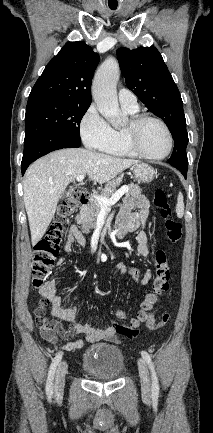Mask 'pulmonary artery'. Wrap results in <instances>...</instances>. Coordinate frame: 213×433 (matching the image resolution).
<instances>
[{"label":"pulmonary artery","instance_id":"e3ab8cb5","mask_svg":"<svg viewBox=\"0 0 213 433\" xmlns=\"http://www.w3.org/2000/svg\"><path fill=\"white\" fill-rule=\"evenodd\" d=\"M118 99L122 107L132 110L138 109L137 98L129 89L121 88L118 91Z\"/></svg>","mask_w":213,"mask_h":433}]
</instances>
